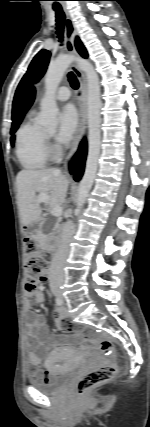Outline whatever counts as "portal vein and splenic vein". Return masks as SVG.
<instances>
[{"mask_svg":"<svg viewBox=\"0 0 150 427\" xmlns=\"http://www.w3.org/2000/svg\"><path fill=\"white\" fill-rule=\"evenodd\" d=\"M37 200L39 203H46L49 202V197L47 194L41 193L38 195ZM51 214L55 217H60L62 215V208L61 207H54L51 210Z\"/></svg>","mask_w":150,"mask_h":427,"instance_id":"portal-vein-and-splenic-vein-1","label":"portal vein and splenic vein"}]
</instances>
